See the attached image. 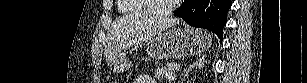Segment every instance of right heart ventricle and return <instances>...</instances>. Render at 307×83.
Listing matches in <instances>:
<instances>
[{"instance_id":"right-heart-ventricle-1","label":"right heart ventricle","mask_w":307,"mask_h":83,"mask_svg":"<svg viewBox=\"0 0 307 83\" xmlns=\"http://www.w3.org/2000/svg\"><path fill=\"white\" fill-rule=\"evenodd\" d=\"M118 10L122 14H133L143 12L147 7L141 0H119Z\"/></svg>"}]
</instances>
